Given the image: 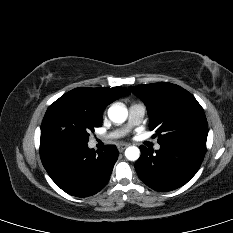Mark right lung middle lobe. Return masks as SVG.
<instances>
[{"mask_svg":"<svg viewBox=\"0 0 233 233\" xmlns=\"http://www.w3.org/2000/svg\"><path fill=\"white\" fill-rule=\"evenodd\" d=\"M101 125L102 117L90 114L63 95L47 109L40 141L87 143L89 133Z\"/></svg>","mask_w":233,"mask_h":233,"instance_id":"dd1d6c3e","label":"right lung middle lobe"}]
</instances>
